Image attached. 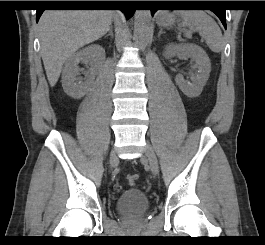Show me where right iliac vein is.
Segmentation results:
<instances>
[{
    "label": "right iliac vein",
    "mask_w": 265,
    "mask_h": 245,
    "mask_svg": "<svg viewBox=\"0 0 265 245\" xmlns=\"http://www.w3.org/2000/svg\"><path fill=\"white\" fill-rule=\"evenodd\" d=\"M117 156L115 154V152L113 151L110 155V164L112 165L113 163H115L117 161Z\"/></svg>",
    "instance_id": "63e3f726"
}]
</instances>
